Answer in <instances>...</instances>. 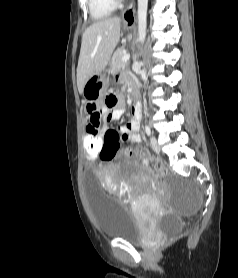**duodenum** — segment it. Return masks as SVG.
<instances>
[{
	"label": "duodenum",
	"mask_w": 238,
	"mask_h": 278,
	"mask_svg": "<svg viewBox=\"0 0 238 278\" xmlns=\"http://www.w3.org/2000/svg\"><path fill=\"white\" fill-rule=\"evenodd\" d=\"M133 110L137 113H140L139 94L135 89L133 90Z\"/></svg>",
	"instance_id": "obj_1"
}]
</instances>
